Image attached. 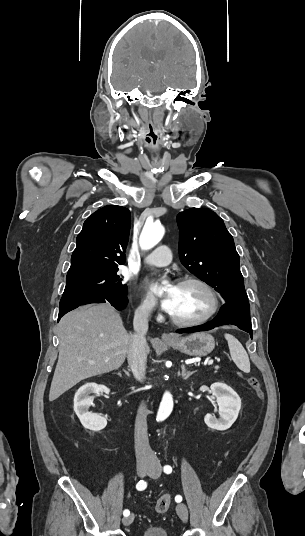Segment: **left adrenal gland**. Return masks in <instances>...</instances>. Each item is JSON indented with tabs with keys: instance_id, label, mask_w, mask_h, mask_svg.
I'll return each instance as SVG.
<instances>
[{
	"instance_id": "left-adrenal-gland-1",
	"label": "left adrenal gland",
	"mask_w": 305,
	"mask_h": 536,
	"mask_svg": "<svg viewBox=\"0 0 305 536\" xmlns=\"http://www.w3.org/2000/svg\"><path fill=\"white\" fill-rule=\"evenodd\" d=\"M192 374H195V372H187V370H185L184 366H182V378H183V380H187V378H190V376H192Z\"/></svg>"
}]
</instances>
